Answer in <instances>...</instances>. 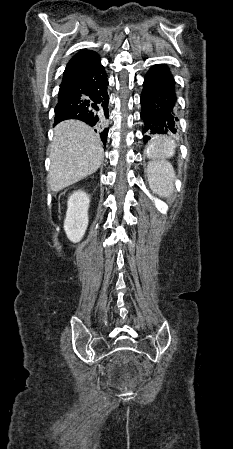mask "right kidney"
I'll use <instances>...</instances> for the list:
<instances>
[{
	"label": "right kidney",
	"mask_w": 233,
	"mask_h": 449,
	"mask_svg": "<svg viewBox=\"0 0 233 449\" xmlns=\"http://www.w3.org/2000/svg\"><path fill=\"white\" fill-rule=\"evenodd\" d=\"M89 203L88 195L81 190L75 191L68 199L64 230L74 243L80 242L87 230Z\"/></svg>",
	"instance_id": "1"
}]
</instances>
